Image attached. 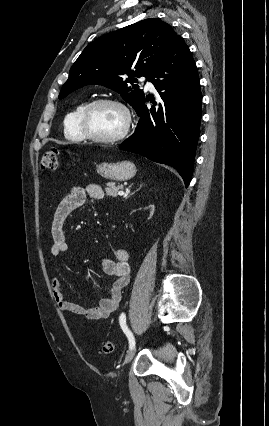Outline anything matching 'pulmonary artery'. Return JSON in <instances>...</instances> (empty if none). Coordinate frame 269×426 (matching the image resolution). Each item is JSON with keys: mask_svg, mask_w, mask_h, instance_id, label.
<instances>
[{"mask_svg": "<svg viewBox=\"0 0 269 426\" xmlns=\"http://www.w3.org/2000/svg\"><path fill=\"white\" fill-rule=\"evenodd\" d=\"M143 81H144V84H145V86L148 90L154 91V85H153L152 81H150L147 78H143Z\"/></svg>", "mask_w": 269, "mask_h": 426, "instance_id": "e3ab8cb5", "label": "pulmonary artery"}]
</instances>
